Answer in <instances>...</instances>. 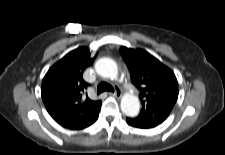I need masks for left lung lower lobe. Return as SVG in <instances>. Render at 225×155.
<instances>
[{"label": "left lung lower lobe", "instance_id": "1", "mask_svg": "<svg viewBox=\"0 0 225 155\" xmlns=\"http://www.w3.org/2000/svg\"><path fill=\"white\" fill-rule=\"evenodd\" d=\"M126 121L130 126L136 127V128L149 129V128L155 127V126H148V125H138L133 118H127Z\"/></svg>", "mask_w": 225, "mask_h": 155}]
</instances>
